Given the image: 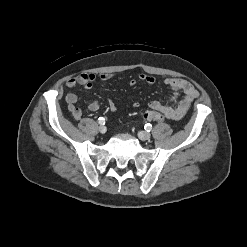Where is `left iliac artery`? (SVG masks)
Listing matches in <instances>:
<instances>
[{
    "label": "left iliac artery",
    "mask_w": 247,
    "mask_h": 247,
    "mask_svg": "<svg viewBox=\"0 0 247 247\" xmlns=\"http://www.w3.org/2000/svg\"><path fill=\"white\" fill-rule=\"evenodd\" d=\"M145 130H147V132H150L152 130V125L151 124H146L145 125Z\"/></svg>",
    "instance_id": "left-iliac-artery-1"
}]
</instances>
